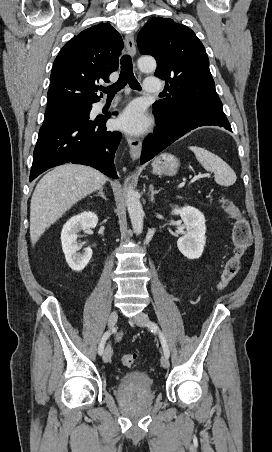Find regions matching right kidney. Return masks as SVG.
Listing matches in <instances>:
<instances>
[{
  "instance_id": "obj_1",
  "label": "right kidney",
  "mask_w": 272,
  "mask_h": 452,
  "mask_svg": "<svg viewBox=\"0 0 272 452\" xmlns=\"http://www.w3.org/2000/svg\"><path fill=\"white\" fill-rule=\"evenodd\" d=\"M98 223V216L93 212H83L70 218L63 226L61 232L62 249L66 262L74 271H82L92 257V249L86 248L84 253H78L77 233L80 230L95 228Z\"/></svg>"
}]
</instances>
